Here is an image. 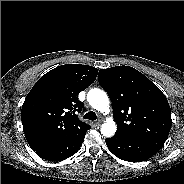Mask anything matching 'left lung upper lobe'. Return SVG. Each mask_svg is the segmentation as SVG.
Returning a JSON list of instances; mask_svg holds the SVG:
<instances>
[{
	"instance_id": "1",
	"label": "left lung upper lobe",
	"mask_w": 184,
	"mask_h": 184,
	"mask_svg": "<svg viewBox=\"0 0 184 184\" xmlns=\"http://www.w3.org/2000/svg\"><path fill=\"white\" fill-rule=\"evenodd\" d=\"M98 81L112 101L117 132L158 152L172 124L171 109L162 91L129 66L101 69Z\"/></svg>"
}]
</instances>
